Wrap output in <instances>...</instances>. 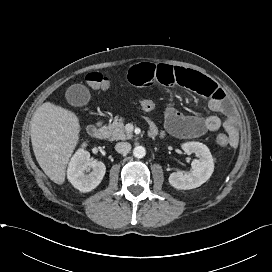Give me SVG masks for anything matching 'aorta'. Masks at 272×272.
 <instances>
[{
  "mask_svg": "<svg viewBox=\"0 0 272 272\" xmlns=\"http://www.w3.org/2000/svg\"><path fill=\"white\" fill-rule=\"evenodd\" d=\"M133 155L138 159L143 158L146 155V150L143 146H136L133 149Z\"/></svg>",
  "mask_w": 272,
  "mask_h": 272,
  "instance_id": "1",
  "label": "aorta"
}]
</instances>
